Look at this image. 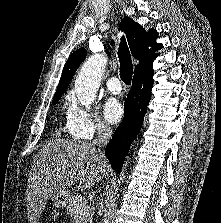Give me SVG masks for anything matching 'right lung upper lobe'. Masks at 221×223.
I'll list each match as a JSON object with an SVG mask.
<instances>
[{"label": "right lung upper lobe", "mask_w": 221, "mask_h": 223, "mask_svg": "<svg viewBox=\"0 0 221 223\" xmlns=\"http://www.w3.org/2000/svg\"><path fill=\"white\" fill-rule=\"evenodd\" d=\"M120 29L124 30L127 36L133 57L139 60V64L135 67L134 75L154 72L152 64L158 55L154 54V52L162 48V44L156 43V29H150L149 32H146L142 26L129 17L122 20ZM148 47H152V50ZM85 57V48H80L70 55L64 66L62 76L53 99L60 98L63 95L78 66Z\"/></svg>", "instance_id": "cb5924a9"}]
</instances>
